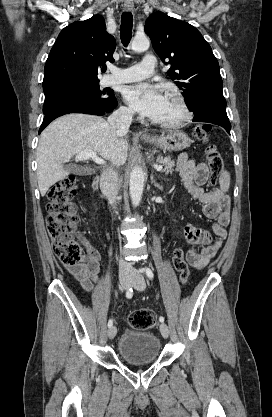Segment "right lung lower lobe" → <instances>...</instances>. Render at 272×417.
Wrapping results in <instances>:
<instances>
[{
	"label": "right lung lower lobe",
	"instance_id": "1",
	"mask_svg": "<svg viewBox=\"0 0 272 417\" xmlns=\"http://www.w3.org/2000/svg\"><path fill=\"white\" fill-rule=\"evenodd\" d=\"M118 102L116 98L112 99L109 103L98 105L93 104L89 102H68L61 104L54 109H52L50 112L45 114L44 120L42 122V125L39 129V133L55 118L62 116L64 114L69 113H84V114H92V115H104L105 113L112 112Z\"/></svg>",
	"mask_w": 272,
	"mask_h": 417
}]
</instances>
